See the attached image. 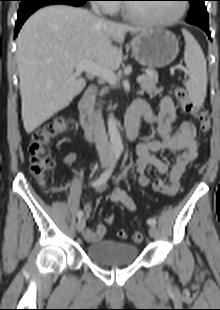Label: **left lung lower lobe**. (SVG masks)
<instances>
[{
    "mask_svg": "<svg viewBox=\"0 0 220 310\" xmlns=\"http://www.w3.org/2000/svg\"><path fill=\"white\" fill-rule=\"evenodd\" d=\"M201 29H203L206 34L208 35V37L211 39V36H210V32H209V27H206V26H199Z\"/></svg>",
    "mask_w": 220,
    "mask_h": 310,
    "instance_id": "obj_1",
    "label": "left lung lower lobe"
}]
</instances>
